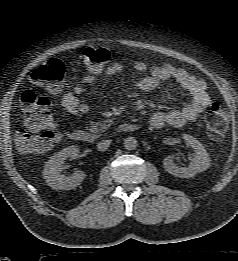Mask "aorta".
<instances>
[{
    "mask_svg": "<svg viewBox=\"0 0 238 261\" xmlns=\"http://www.w3.org/2000/svg\"><path fill=\"white\" fill-rule=\"evenodd\" d=\"M136 147H137V140L134 137L129 136L124 140V148L126 150L129 151L135 150Z\"/></svg>",
    "mask_w": 238,
    "mask_h": 261,
    "instance_id": "aorta-1",
    "label": "aorta"
}]
</instances>
